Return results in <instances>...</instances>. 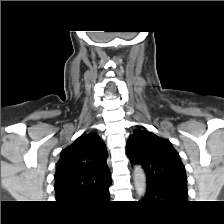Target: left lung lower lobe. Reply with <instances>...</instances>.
<instances>
[{
	"instance_id": "0a47b994",
	"label": "left lung lower lobe",
	"mask_w": 224,
	"mask_h": 224,
	"mask_svg": "<svg viewBox=\"0 0 224 224\" xmlns=\"http://www.w3.org/2000/svg\"><path fill=\"white\" fill-rule=\"evenodd\" d=\"M144 201L181 204L187 202V189L147 184Z\"/></svg>"
}]
</instances>
